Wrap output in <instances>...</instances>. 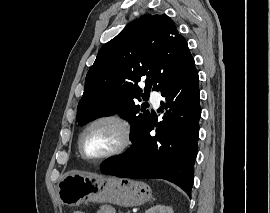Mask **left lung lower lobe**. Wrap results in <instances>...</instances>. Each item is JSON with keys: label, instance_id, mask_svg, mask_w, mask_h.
I'll return each mask as SVG.
<instances>
[{"label": "left lung lower lobe", "instance_id": "0a47b994", "mask_svg": "<svg viewBox=\"0 0 270 213\" xmlns=\"http://www.w3.org/2000/svg\"><path fill=\"white\" fill-rule=\"evenodd\" d=\"M160 92L165 98L161 108L169 110L157 126L156 136H150L154 127L149 119L130 137V149L103 163L101 172L126 178L165 179L180 186L190 196L201 116L195 66L192 65Z\"/></svg>", "mask_w": 270, "mask_h": 213}]
</instances>
